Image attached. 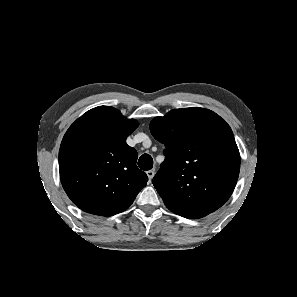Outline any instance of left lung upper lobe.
Returning a JSON list of instances; mask_svg holds the SVG:
<instances>
[{"label":"left lung upper lobe","mask_w":297,"mask_h":297,"mask_svg":"<svg viewBox=\"0 0 297 297\" xmlns=\"http://www.w3.org/2000/svg\"><path fill=\"white\" fill-rule=\"evenodd\" d=\"M165 145V161L152 180L166 207L188 219L202 218L231 196L240 154L230 126L211 110L173 109L151 121Z\"/></svg>","instance_id":"obj_1"}]
</instances>
